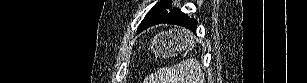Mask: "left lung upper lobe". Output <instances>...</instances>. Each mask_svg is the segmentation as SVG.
Segmentation results:
<instances>
[{"label": "left lung upper lobe", "instance_id": "obj_1", "mask_svg": "<svg viewBox=\"0 0 307 83\" xmlns=\"http://www.w3.org/2000/svg\"><path fill=\"white\" fill-rule=\"evenodd\" d=\"M171 0H161L158 2L145 16L144 20L139 25V28L150 25L151 23H156L163 18H165L169 12L167 9L171 11Z\"/></svg>", "mask_w": 307, "mask_h": 83}]
</instances>
